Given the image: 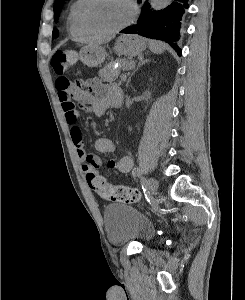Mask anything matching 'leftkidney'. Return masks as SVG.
Listing matches in <instances>:
<instances>
[{
	"label": "left kidney",
	"mask_w": 245,
	"mask_h": 300,
	"mask_svg": "<svg viewBox=\"0 0 245 300\" xmlns=\"http://www.w3.org/2000/svg\"><path fill=\"white\" fill-rule=\"evenodd\" d=\"M145 96H147L146 99L150 98V93H149V92H148V93L146 92V93H145Z\"/></svg>",
	"instance_id": "obj_1"
}]
</instances>
